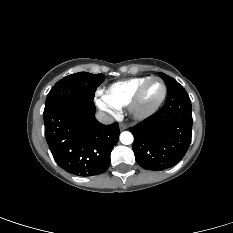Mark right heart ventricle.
Instances as JSON below:
<instances>
[{"instance_id": "e07e8e85", "label": "right heart ventricle", "mask_w": 233, "mask_h": 233, "mask_svg": "<svg viewBox=\"0 0 233 233\" xmlns=\"http://www.w3.org/2000/svg\"><path fill=\"white\" fill-rule=\"evenodd\" d=\"M149 77L131 78L111 84L103 93L107 103L115 108H122L129 104L138 87Z\"/></svg>"}]
</instances>
